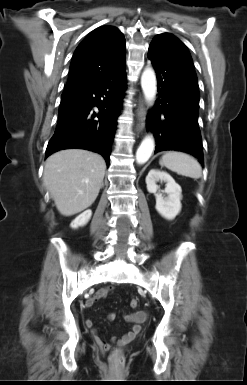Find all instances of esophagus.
<instances>
[{
    "label": "esophagus",
    "mask_w": 247,
    "mask_h": 385,
    "mask_svg": "<svg viewBox=\"0 0 247 385\" xmlns=\"http://www.w3.org/2000/svg\"><path fill=\"white\" fill-rule=\"evenodd\" d=\"M137 117H138V123H137V130L141 131L144 127L145 122V108L143 100L140 101L138 109H137Z\"/></svg>",
    "instance_id": "1"
}]
</instances>
